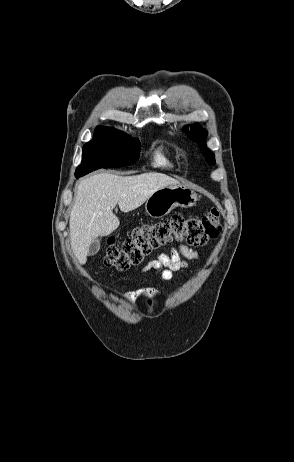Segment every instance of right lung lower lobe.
<instances>
[{
  "label": "right lung lower lobe",
  "instance_id": "98d812e1",
  "mask_svg": "<svg viewBox=\"0 0 294 462\" xmlns=\"http://www.w3.org/2000/svg\"><path fill=\"white\" fill-rule=\"evenodd\" d=\"M107 167H117L116 159L107 153H99L92 158L91 167L89 168V172L99 168H107ZM81 176H76L79 178Z\"/></svg>",
  "mask_w": 294,
  "mask_h": 462
}]
</instances>
